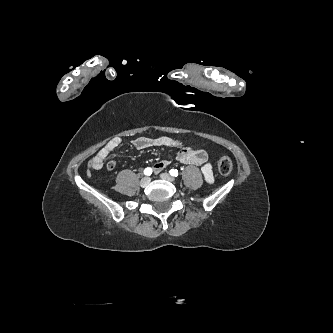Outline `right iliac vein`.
I'll return each instance as SVG.
<instances>
[{
    "mask_svg": "<svg viewBox=\"0 0 333 333\" xmlns=\"http://www.w3.org/2000/svg\"><path fill=\"white\" fill-rule=\"evenodd\" d=\"M150 182H151V179L149 177H144L140 181V186L144 188V187L148 186L150 184Z\"/></svg>",
    "mask_w": 333,
    "mask_h": 333,
    "instance_id": "63e3f726",
    "label": "right iliac vein"
}]
</instances>
